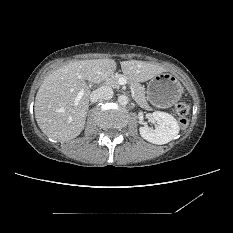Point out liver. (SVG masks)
<instances>
[{
    "label": "liver",
    "instance_id": "obj_1",
    "mask_svg": "<svg viewBox=\"0 0 233 233\" xmlns=\"http://www.w3.org/2000/svg\"><path fill=\"white\" fill-rule=\"evenodd\" d=\"M121 70L130 80L145 82L167 69L145 61H122ZM113 59H92L70 62L48 75L38 89L35 118L41 131L58 141L79 136L89 109L90 89L86 81L100 83L115 72ZM80 91L83 96L75 104Z\"/></svg>",
    "mask_w": 233,
    "mask_h": 233
}]
</instances>
